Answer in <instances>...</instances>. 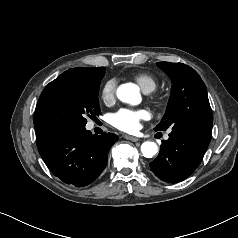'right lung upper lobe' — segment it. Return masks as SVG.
I'll return each mask as SVG.
<instances>
[{"mask_svg": "<svg viewBox=\"0 0 238 238\" xmlns=\"http://www.w3.org/2000/svg\"><path fill=\"white\" fill-rule=\"evenodd\" d=\"M92 68H73L69 69L58 78L50 82L41 93L34 114V126L36 133L44 132L54 127H58L56 100V87L60 81L68 77L90 78Z\"/></svg>", "mask_w": 238, "mask_h": 238, "instance_id": "right-lung-upper-lobe-1", "label": "right lung upper lobe"}]
</instances>
